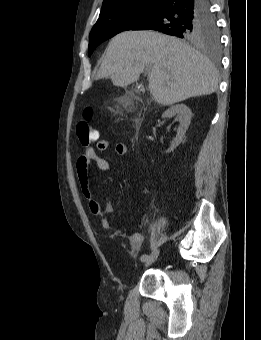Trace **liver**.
Listing matches in <instances>:
<instances>
[{"instance_id":"6515ba94","label":"liver","mask_w":261,"mask_h":340,"mask_svg":"<svg viewBox=\"0 0 261 340\" xmlns=\"http://www.w3.org/2000/svg\"><path fill=\"white\" fill-rule=\"evenodd\" d=\"M148 67V68H147ZM148 69L149 89L164 106L217 90V70L199 51L154 31H125L108 45L96 78L127 87Z\"/></svg>"}]
</instances>
